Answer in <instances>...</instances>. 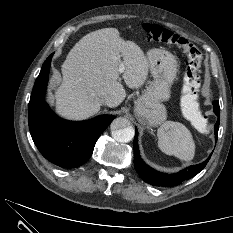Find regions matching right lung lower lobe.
<instances>
[{
    "label": "right lung lower lobe",
    "mask_w": 233,
    "mask_h": 233,
    "mask_svg": "<svg viewBox=\"0 0 233 233\" xmlns=\"http://www.w3.org/2000/svg\"><path fill=\"white\" fill-rule=\"evenodd\" d=\"M51 54L36 79L28 106L32 139L41 154L63 168H76L92 155L96 141L115 118L100 115L87 121H66L56 116L44 102Z\"/></svg>",
    "instance_id": "obj_1"
}]
</instances>
